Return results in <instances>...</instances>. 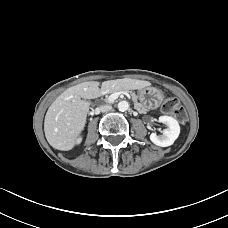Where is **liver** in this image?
<instances>
[{
    "label": "liver",
    "mask_w": 228,
    "mask_h": 228,
    "mask_svg": "<svg viewBox=\"0 0 228 228\" xmlns=\"http://www.w3.org/2000/svg\"><path fill=\"white\" fill-rule=\"evenodd\" d=\"M129 85L131 89H141L151 83L143 80L117 79L105 81L99 89V82H83L66 89L50 105L45 115L44 132L48 143L55 149L71 150L83 131L90 103L102 93L119 90Z\"/></svg>",
    "instance_id": "obj_1"
}]
</instances>
